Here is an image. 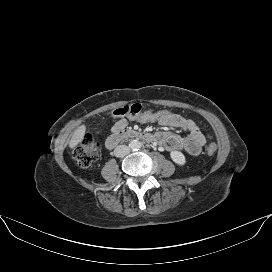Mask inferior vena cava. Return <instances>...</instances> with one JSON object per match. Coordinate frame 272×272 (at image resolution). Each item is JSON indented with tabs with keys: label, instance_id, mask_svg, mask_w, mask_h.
Instances as JSON below:
<instances>
[{
	"label": "inferior vena cava",
	"instance_id": "1",
	"mask_svg": "<svg viewBox=\"0 0 272 272\" xmlns=\"http://www.w3.org/2000/svg\"><path fill=\"white\" fill-rule=\"evenodd\" d=\"M130 152V149L126 145H119L114 149V155L116 157H124Z\"/></svg>",
	"mask_w": 272,
	"mask_h": 272
}]
</instances>
